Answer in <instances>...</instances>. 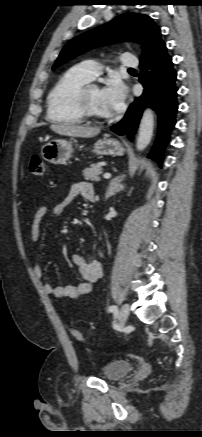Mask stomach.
I'll return each mask as SVG.
<instances>
[{
    "label": "stomach",
    "instance_id": "obj_1",
    "mask_svg": "<svg viewBox=\"0 0 202 437\" xmlns=\"http://www.w3.org/2000/svg\"><path fill=\"white\" fill-rule=\"evenodd\" d=\"M93 152L97 155L122 156L125 152L123 145L112 138H103L93 146ZM73 153L72 142L67 140H53L41 149L42 158L52 164L65 163Z\"/></svg>",
    "mask_w": 202,
    "mask_h": 437
}]
</instances>
